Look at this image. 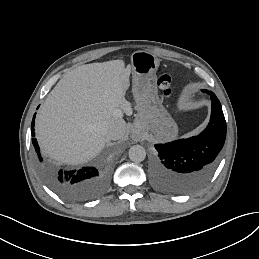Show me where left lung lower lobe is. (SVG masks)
<instances>
[{
  "label": "left lung lower lobe",
  "mask_w": 259,
  "mask_h": 259,
  "mask_svg": "<svg viewBox=\"0 0 259 259\" xmlns=\"http://www.w3.org/2000/svg\"><path fill=\"white\" fill-rule=\"evenodd\" d=\"M212 111L207 128L199 135L170 143L156 144L158 154L151 175L158 188L185 193L201 186L215 171L226 138V121L220 101L212 91Z\"/></svg>",
  "instance_id": "left-lung-lower-lobe-1"
}]
</instances>
